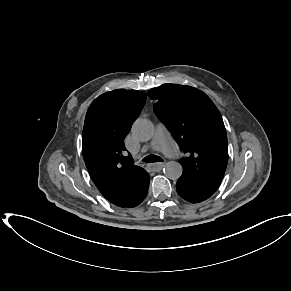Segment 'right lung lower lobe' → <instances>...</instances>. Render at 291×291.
I'll use <instances>...</instances> for the list:
<instances>
[{
    "mask_svg": "<svg viewBox=\"0 0 291 291\" xmlns=\"http://www.w3.org/2000/svg\"><path fill=\"white\" fill-rule=\"evenodd\" d=\"M148 187H149V185H148ZM148 187H147V189H145L142 192V196L140 198L136 199V201H134V202H131V203L117 202V203H113V204H115L116 206H119V207H129V208L135 207V206L139 205L143 201V199L146 197L147 192H148Z\"/></svg>",
    "mask_w": 291,
    "mask_h": 291,
    "instance_id": "right-lung-lower-lobe-1",
    "label": "right lung lower lobe"
}]
</instances>
